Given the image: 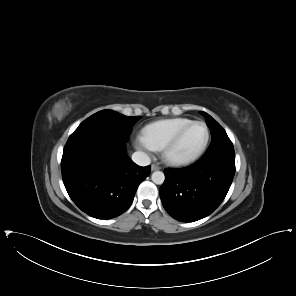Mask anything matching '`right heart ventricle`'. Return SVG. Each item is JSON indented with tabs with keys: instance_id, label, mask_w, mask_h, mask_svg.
<instances>
[{
	"instance_id": "right-heart-ventricle-1",
	"label": "right heart ventricle",
	"mask_w": 296,
	"mask_h": 296,
	"mask_svg": "<svg viewBox=\"0 0 296 296\" xmlns=\"http://www.w3.org/2000/svg\"><path fill=\"white\" fill-rule=\"evenodd\" d=\"M190 121L192 120L182 117L155 121L143 129L142 135L155 150H160L181 127Z\"/></svg>"
}]
</instances>
